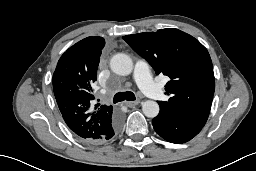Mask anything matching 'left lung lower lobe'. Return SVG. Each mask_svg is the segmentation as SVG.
<instances>
[{"instance_id":"obj_1","label":"left lung lower lobe","mask_w":256,"mask_h":171,"mask_svg":"<svg viewBox=\"0 0 256 171\" xmlns=\"http://www.w3.org/2000/svg\"><path fill=\"white\" fill-rule=\"evenodd\" d=\"M152 125L162 138L178 144L191 140L203 128L178 110L165 106H160V113L153 119Z\"/></svg>"}]
</instances>
